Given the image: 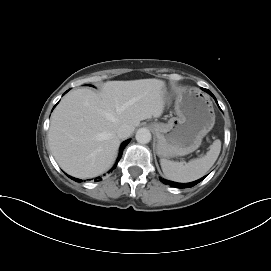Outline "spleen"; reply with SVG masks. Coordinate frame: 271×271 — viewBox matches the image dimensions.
<instances>
[{
  "mask_svg": "<svg viewBox=\"0 0 271 271\" xmlns=\"http://www.w3.org/2000/svg\"><path fill=\"white\" fill-rule=\"evenodd\" d=\"M220 151L221 141L217 139L203 157L193 159L185 164L161 159L160 165L166 178L175 182L187 183L204 176L217 160Z\"/></svg>",
  "mask_w": 271,
  "mask_h": 271,
  "instance_id": "spleen-1",
  "label": "spleen"
}]
</instances>
